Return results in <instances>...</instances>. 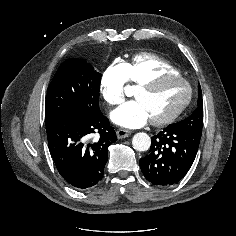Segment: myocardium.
I'll return each instance as SVG.
<instances>
[{
  "label": "myocardium",
  "mask_w": 236,
  "mask_h": 236,
  "mask_svg": "<svg viewBox=\"0 0 236 236\" xmlns=\"http://www.w3.org/2000/svg\"><path fill=\"white\" fill-rule=\"evenodd\" d=\"M168 80H178L185 84L187 89V95L184 101L181 103L180 106H178L172 113H170L167 116L161 117V118H153L151 119L152 124L154 125H166L169 123H172L174 120H176L188 107V105L191 102L192 99V87L190 83L180 74H173V73H165L158 75L140 85H138L137 90H151L156 88L161 83L168 81Z\"/></svg>",
  "instance_id": "obj_1"
}]
</instances>
